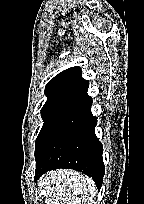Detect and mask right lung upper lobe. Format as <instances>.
Masks as SVG:
<instances>
[{
	"instance_id": "right-lung-upper-lobe-1",
	"label": "right lung upper lobe",
	"mask_w": 144,
	"mask_h": 204,
	"mask_svg": "<svg viewBox=\"0 0 144 204\" xmlns=\"http://www.w3.org/2000/svg\"><path fill=\"white\" fill-rule=\"evenodd\" d=\"M89 82L82 78L80 67L68 68L54 78L46 85L45 95L48 100L60 97L78 98L86 94Z\"/></svg>"
}]
</instances>
